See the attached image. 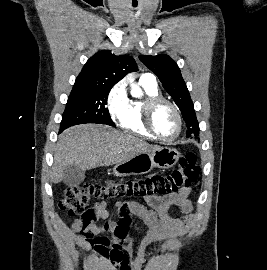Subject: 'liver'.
I'll return each instance as SVG.
<instances>
[{
	"mask_svg": "<svg viewBox=\"0 0 267 270\" xmlns=\"http://www.w3.org/2000/svg\"><path fill=\"white\" fill-rule=\"evenodd\" d=\"M158 147L107 125L73 126L59 136L51 180L53 183H59L64 169L69 165H76L86 171L100 166L119 164L140 153L154 151Z\"/></svg>",
	"mask_w": 267,
	"mask_h": 270,
	"instance_id": "liver-1",
	"label": "liver"
}]
</instances>
